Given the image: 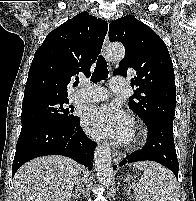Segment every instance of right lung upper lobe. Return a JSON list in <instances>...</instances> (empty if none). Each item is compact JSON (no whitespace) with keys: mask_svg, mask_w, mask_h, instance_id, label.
Instances as JSON below:
<instances>
[{"mask_svg":"<svg viewBox=\"0 0 196 201\" xmlns=\"http://www.w3.org/2000/svg\"><path fill=\"white\" fill-rule=\"evenodd\" d=\"M107 30V22L81 12L50 32L34 54L24 98L67 97L76 74L90 75Z\"/></svg>","mask_w":196,"mask_h":201,"instance_id":"right-lung-upper-lobe-1","label":"right lung upper lobe"}]
</instances>
